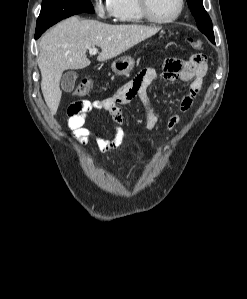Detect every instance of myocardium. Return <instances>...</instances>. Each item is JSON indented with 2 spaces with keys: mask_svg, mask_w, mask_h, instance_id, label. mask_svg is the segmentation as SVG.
I'll list each match as a JSON object with an SVG mask.
<instances>
[{
  "mask_svg": "<svg viewBox=\"0 0 247 299\" xmlns=\"http://www.w3.org/2000/svg\"><path fill=\"white\" fill-rule=\"evenodd\" d=\"M137 2H138V7H139V10H140V13L142 14V16L146 20L156 23V24H169V23L176 21L182 14V11L184 8V0H178V9H177L176 13L170 18L159 19V18H156L151 13L148 0H137Z\"/></svg>",
  "mask_w": 247,
  "mask_h": 299,
  "instance_id": "1",
  "label": "myocardium"
}]
</instances>
